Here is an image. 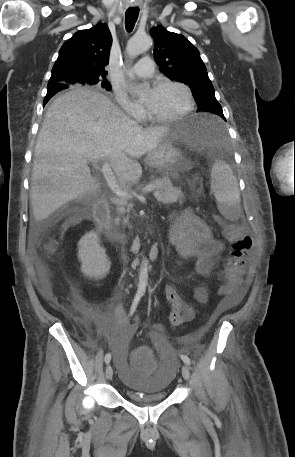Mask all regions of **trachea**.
Wrapping results in <instances>:
<instances>
[{
  "mask_svg": "<svg viewBox=\"0 0 295 457\" xmlns=\"http://www.w3.org/2000/svg\"><path fill=\"white\" fill-rule=\"evenodd\" d=\"M139 10L137 8H129L125 13V27L127 32H131L138 19Z\"/></svg>",
  "mask_w": 295,
  "mask_h": 457,
  "instance_id": "3493384b",
  "label": "trachea"
}]
</instances>
